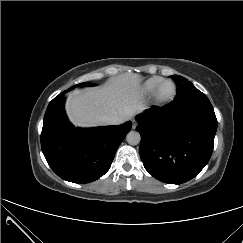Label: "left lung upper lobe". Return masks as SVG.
<instances>
[{
  "mask_svg": "<svg viewBox=\"0 0 243 243\" xmlns=\"http://www.w3.org/2000/svg\"><path fill=\"white\" fill-rule=\"evenodd\" d=\"M171 78L179 87L187 86L190 89V92L196 94L195 98L188 104V109L197 113H214L213 107L207 96L199 91L190 81H187V79L179 75H173Z\"/></svg>",
  "mask_w": 243,
  "mask_h": 243,
  "instance_id": "obj_1",
  "label": "left lung upper lobe"
}]
</instances>
